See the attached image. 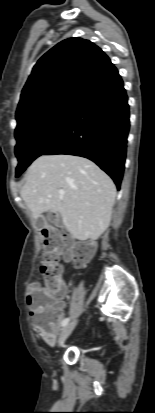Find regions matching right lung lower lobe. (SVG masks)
Segmentation results:
<instances>
[{
  "mask_svg": "<svg viewBox=\"0 0 155 413\" xmlns=\"http://www.w3.org/2000/svg\"><path fill=\"white\" fill-rule=\"evenodd\" d=\"M127 100L123 81L117 74L77 104L64 131L42 155L88 158L120 189L130 127Z\"/></svg>",
  "mask_w": 155,
  "mask_h": 413,
  "instance_id": "right-lung-lower-lobe-1",
  "label": "right lung lower lobe"
}]
</instances>
